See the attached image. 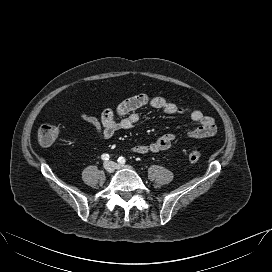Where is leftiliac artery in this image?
I'll return each instance as SVG.
<instances>
[{"mask_svg":"<svg viewBox=\"0 0 272 272\" xmlns=\"http://www.w3.org/2000/svg\"><path fill=\"white\" fill-rule=\"evenodd\" d=\"M118 162L123 165V164L126 163V159L121 156V157L118 158Z\"/></svg>","mask_w":272,"mask_h":272,"instance_id":"44dca946","label":"left iliac artery"}]
</instances>
